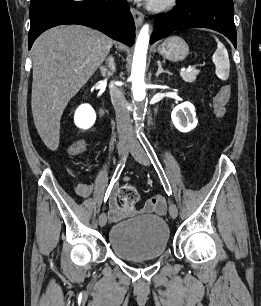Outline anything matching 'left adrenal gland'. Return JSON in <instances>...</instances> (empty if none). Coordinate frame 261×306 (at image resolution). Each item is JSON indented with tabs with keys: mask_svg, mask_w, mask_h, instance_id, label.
<instances>
[{
	"mask_svg": "<svg viewBox=\"0 0 261 306\" xmlns=\"http://www.w3.org/2000/svg\"><path fill=\"white\" fill-rule=\"evenodd\" d=\"M157 63H158V70H157V72H156V77H159V75L162 74V73H167V74L171 75V73H170L169 71L164 70V69L162 68V64H161L160 61H158Z\"/></svg>",
	"mask_w": 261,
	"mask_h": 306,
	"instance_id": "obj_1",
	"label": "left adrenal gland"
}]
</instances>
